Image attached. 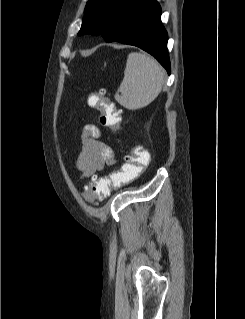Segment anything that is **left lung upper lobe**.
Instances as JSON below:
<instances>
[{"mask_svg": "<svg viewBox=\"0 0 245 319\" xmlns=\"http://www.w3.org/2000/svg\"><path fill=\"white\" fill-rule=\"evenodd\" d=\"M148 0H89L78 35H101L112 42L127 19Z\"/></svg>", "mask_w": 245, "mask_h": 319, "instance_id": "left-lung-upper-lobe-1", "label": "left lung upper lobe"}]
</instances>
